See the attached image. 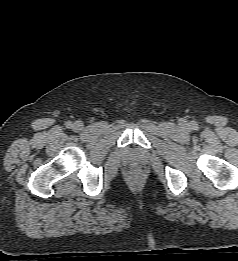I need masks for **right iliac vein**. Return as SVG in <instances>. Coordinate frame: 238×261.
<instances>
[{"instance_id":"63e3f726","label":"right iliac vein","mask_w":238,"mask_h":261,"mask_svg":"<svg viewBox=\"0 0 238 261\" xmlns=\"http://www.w3.org/2000/svg\"><path fill=\"white\" fill-rule=\"evenodd\" d=\"M83 128V124L81 121H76L73 124V129L76 131H80Z\"/></svg>"}]
</instances>
